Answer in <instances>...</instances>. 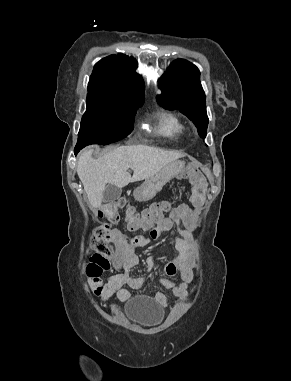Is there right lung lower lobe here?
<instances>
[{"instance_id": "98d812e1", "label": "right lung lower lobe", "mask_w": 291, "mask_h": 381, "mask_svg": "<svg viewBox=\"0 0 291 381\" xmlns=\"http://www.w3.org/2000/svg\"><path fill=\"white\" fill-rule=\"evenodd\" d=\"M80 149H82V148L80 146L76 145L75 150H74L75 155H77V153L80 151Z\"/></svg>"}]
</instances>
